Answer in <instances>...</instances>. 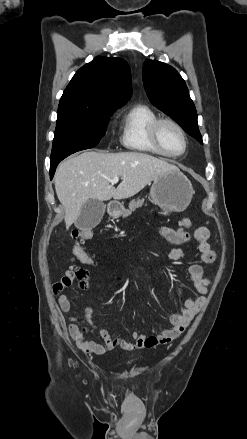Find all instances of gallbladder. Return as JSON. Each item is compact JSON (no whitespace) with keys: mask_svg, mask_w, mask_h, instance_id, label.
<instances>
[{"mask_svg":"<svg viewBox=\"0 0 247 439\" xmlns=\"http://www.w3.org/2000/svg\"><path fill=\"white\" fill-rule=\"evenodd\" d=\"M106 205L102 201L89 199L82 206L80 215L75 221V226L79 229H92L101 221Z\"/></svg>","mask_w":247,"mask_h":439,"instance_id":"gallbladder-1","label":"gallbladder"}]
</instances>
